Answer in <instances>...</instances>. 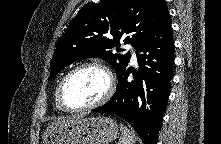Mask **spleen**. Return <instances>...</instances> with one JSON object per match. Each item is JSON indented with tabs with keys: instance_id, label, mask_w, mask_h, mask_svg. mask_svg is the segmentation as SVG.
Wrapping results in <instances>:
<instances>
[{
	"instance_id": "obj_1",
	"label": "spleen",
	"mask_w": 221,
	"mask_h": 144,
	"mask_svg": "<svg viewBox=\"0 0 221 144\" xmlns=\"http://www.w3.org/2000/svg\"><path fill=\"white\" fill-rule=\"evenodd\" d=\"M121 138L118 144H135V135L126 126L120 124Z\"/></svg>"
}]
</instances>
